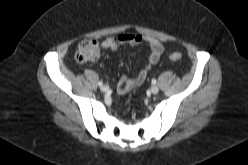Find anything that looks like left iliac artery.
Here are the masks:
<instances>
[{
    "mask_svg": "<svg viewBox=\"0 0 248 165\" xmlns=\"http://www.w3.org/2000/svg\"><path fill=\"white\" fill-rule=\"evenodd\" d=\"M152 84H156V79H152Z\"/></svg>",
    "mask_w": 248,
    "mask_h": 165,
    "instance_id": "left-iliac-artery-1",
    "label": "left iliac artery"
}]
</instances>
